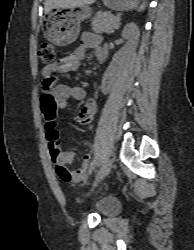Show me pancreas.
I'll return each mask as SVG.
<instances>
[{"label":"pancreas","mask_w":194,"mask_h":250,"mask_svg":"<svg viewBox=\"0 0 194 250\" xmlns=\"http://www.w3.org/2000/svg\"><path fill=\"white\" fill-rule=\"evenodd\" d=\"M92 30L96 33H107L111 34L116 29L119 28L120 23L116 20V16H114L110 12H99L93 18L91 22Z\"/></svg>","instance_id":"1"}]
</instances>
